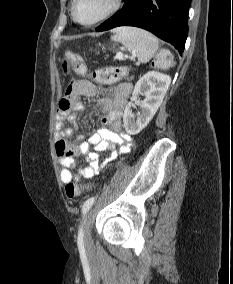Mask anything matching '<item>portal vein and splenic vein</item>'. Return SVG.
I'll return each mask as SVG.
<instances>
[{"label": "portal vein and splenic vein", "mask_w": 233, "mask_h": 284, "mask_svg": "<svg viewBox=\"0 0 233 284\" xmlns=\"http://www.w3.org/2000/svg\"><path fill=\"white\" fill-rule=\"evenodd\" d=\"M117 57H118L119 59H122V55H117Z\"/></svg>", "instance_id": "18ae733b"}]
</instances>
